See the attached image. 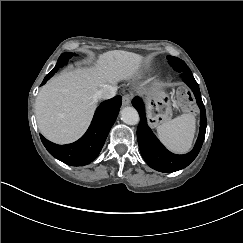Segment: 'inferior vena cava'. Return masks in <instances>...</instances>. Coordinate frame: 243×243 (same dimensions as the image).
Masks as SVG:
<instances>
[{
	"instance_id": "inferior-vena-cava-1",
	"label": "inferior vena cava",
	"mask_w": 243,
	"mask_h": 243,
	"mask_svg": "<svg viewBox=\"0 0 243 243\" xmlns=\"http://www.w3.org/2000/svg\"><path fill=\"white\" fill-rule=\"evenodd\" d=\"M117 87L109 84H104L98 90L97 96L103 99H110L116 96Z\"/></svg>"
}]
</instances>
